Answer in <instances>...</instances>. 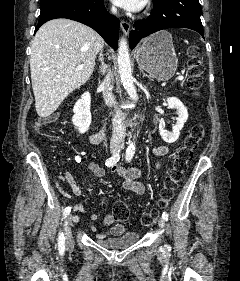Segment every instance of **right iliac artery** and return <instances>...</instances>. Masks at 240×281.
Listing matches in <instances>:
<instances>
[{
	"instance_id": "right-iliac-artery-1",
	"label": "right iliac artery",
	"mask_w": 240,
	"mask_h": 281,
	"mask_svg": "<svg viewBox=\"0 0 240 281\" xmlns=\"http://www.w3.org/2000/svg\"><path fill=\"white\" fill-rule=\"evenodd\" d=\"M120 159V153L119 151L117 153H115L113 156H111L110 158H108L106 160V163L105 165L110 167V166H113L115 165ZM71 211V207L68 206L64 209L63 211V217H66ZM58 247L60 249V251H64V248H65V237H64V234L62 232L59 233V238H58Z\"/></svg>"
}]
</instances>
